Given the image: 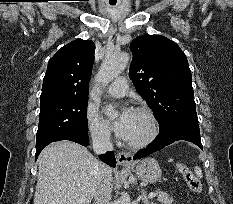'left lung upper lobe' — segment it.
I'll use <instances>...</instances> for the list:
<instances>
[{"mask_svg":"<svg viewBox=\"0 0 233 204\" xmlns=\"http://www.w3.org/2000/svg\"><path fill=\"white\" fill-rule=\"evenodd\" d=\"M129 76L154 111L160 129L198 122L188 61L180 47L160 35L135 38Z\"/></svg>","mask_w":233,"mask_h":204,"instance_id":"1","label":"left lung upper lobe"}]
</instances>
